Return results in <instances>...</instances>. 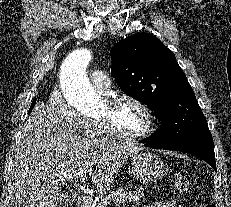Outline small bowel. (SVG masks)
<instances>
[{
    "label": "small bowel",
    "instance_id": "small-bowel-1",
    "mask_svg": "<svg viewBox=\"0 0 231 207\" xmlns=\"http://www.w3.org/2000/svg\"><path fill=\"white\" fill-rule=\"evenodd\" d=\"M143 207H181L178 203L172 200L158 201Z\"/></svg>",
    "mask_w": 231,
    "mask_h": 207
}]
</instances>
